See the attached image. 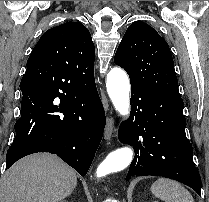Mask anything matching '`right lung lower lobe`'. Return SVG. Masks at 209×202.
Here are the masks:
<instances>
[{
    "mask_svg": "<svg viewBox=\"0 0 209 202\" xmlns=\"http://www.w3.org/2000/svg\"><path fill=\"white\" fill-rule=\"evenodd\" d=\"M21 118L7 151L6 168L37 152L58 155L85 176L105 127L95 83L83 89L63 86L46 69H27L21 79Z\"/></svg>",
    "mask_w": 209,
    "mask_h": 202,
    "instance_id": "1",
    "label": "right lung lower lobe"
}]
</instances>
